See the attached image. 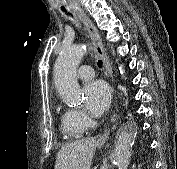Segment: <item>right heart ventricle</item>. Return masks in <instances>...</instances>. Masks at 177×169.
<instances>
[{
	"label": "right heart ventricle",
	"mask_w": 177,
	"mask_h": 169,
	"mask_svg": "<svg viewBox=\"0 0 177 169\" xmlns=\"http://www.w3.org/2000/svg\"><path fill=\"white\" fill-rule=\"evenodd\" d=\"M68 111H64L61 116V128L68 139H77L82 136V133L74 130L75 126L70 121Z\"/></svg>",
	"instance_id": "obj_1"
}]
</instances>
